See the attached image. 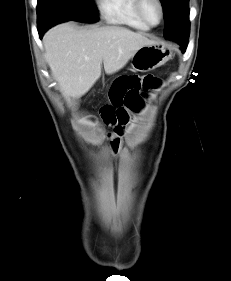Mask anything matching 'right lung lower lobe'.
Instances as JSON below:
<instances>
[{"label": "right lung lower lobe", "instance_id": "1", "mask_svg": "<svg viewBox=\"0 0 231 281\" xmlns=\"http://www.w3.org/2000/svg\"><path fill=\"white\" fill-rule=\"evenodd\" d=\"M61 19L54 20L52 22H43V23H38V32L40 38H42L43 34L52 26H54L57 23H60Z\"/></svg>", "mask_w": 231, "mask_h": 281}]
</instances>
